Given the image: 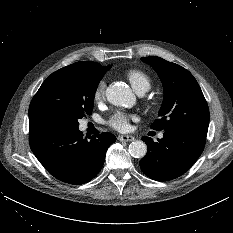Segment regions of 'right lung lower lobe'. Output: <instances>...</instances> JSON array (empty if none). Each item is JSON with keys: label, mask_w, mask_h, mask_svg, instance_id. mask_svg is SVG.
<instances>
[{"label": "right lung lower lobe", "mask_w": 233, "mask_h": 233, "mask_svg": "<svg viewBox=\"0 0 233 233\" xmlns=\"http://www.w3.org/2000/svg\"><path fill=\"white\" fill-rule=\"evenodd\" d=\"M116 137L108 132L83 138L78 127L29 125V142L39 162L60 181L80 185L101 170L108 147Z\"/></svg>", "instance_id": "right-lung-lower-lobe-1"}]
</instances>
